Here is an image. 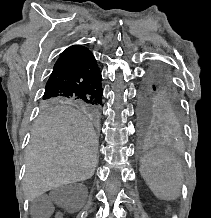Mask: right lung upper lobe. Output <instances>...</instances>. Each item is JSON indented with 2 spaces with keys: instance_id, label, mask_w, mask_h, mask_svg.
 I'll list each match as a JSON object with an SVG mask.
<instances>
[{
  "instance_id": "right-lung-upper-lobe-1",
  "label": "right lung upper lobe",
  "mask_w": 211,
  "mask_h": 218,
  "mask_svg": "<svg viewBox=\"0 0 211 218\" xmlns=\"http://www.w3.org/2000/svg\"><path fill=\"white\" fill-rule=\"evenodd\" d=\"M84 50H88V49L85 48V47L78 46V45H73V46H70L67 49H65L61 53L60 56H63V55H66V54H70V53H73V52H77V51H84Z\"/></svg>"
}]
</instances>
